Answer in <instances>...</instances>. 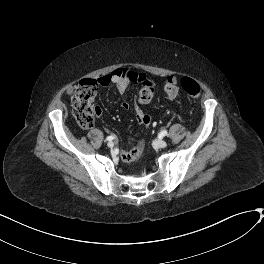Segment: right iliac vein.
<instances>
[{"mask_svg":"<svg viewBox=\"0 0 264 264\" xmlns=\"http://www.w3.org/2000/svg\"><path fill=\"white\" fill-rule=\"evenodd\" d=\"M107 145H108L109 148H113L114 147V143L113 142H108Z\"/></svg>","mask_w":264,"mask_h":264,"instance_id":"obj_1","label":"right iliac vein"}]
</instances>
